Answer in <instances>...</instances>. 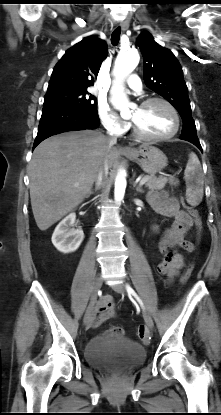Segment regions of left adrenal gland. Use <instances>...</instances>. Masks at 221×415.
Returning a JSON list of instances; mask_svg holds the SVG:
<instances>
[{
	"mask_svg": "<svg viewBox=\"0 0 221 415\" xmlns=\"http://www.w3.org/2000/svg\"><path fill=\"white\" fill-rule=\"evenodd\" d=\"M133 187L136 188V191L139 193H144L143 189L140 186H136V184H133Z\"/></svg>",
	"mask_w": 221,
	"mask_h": 415,
	"instance_id": "a2214340",
	"label": "left adrenal gland"
}]
</instances>
